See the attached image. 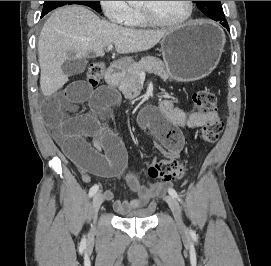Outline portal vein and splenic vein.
<instances>
[{
    "label": "portal vein and splenic vein",
    "mask_w": 271,
    "mask_h": 266,
    "mask_svg": "<svg viewBox=\"0 0 271 266\" xmlns=\"http://www.w3.org/2000/svg\"><path fill=\"white\" fill-rule=\"evenodd\" d=\"M107 49L110 51V50H112L113 49V45H108L107 46ZM141 74H144L143 72H141Z\"/></svg>",
    "instance_id": "portal-vein-and-splenic-vein-1"
}]
</instances>
